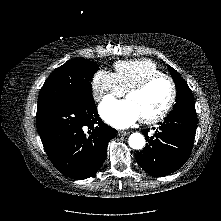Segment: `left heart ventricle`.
<instances>
[{"instance_id":"obj_1","label":"left heart ventricle","mask_w":221,"mask_h":221,"mask_svg":"<svg viewBox=\"0 0 221 221\" xmlns=\"http://www.w3.org/2000/svg\"><path fill=\"white\" fill-rule=\"evenodd\" d=\"M171 95V87L167 80L160 79L139 93L126 96L137 108L141 118L159 113L167 104Z\"/></svg>"}]
</instances>
